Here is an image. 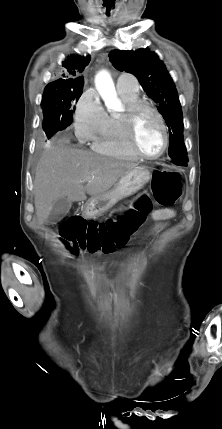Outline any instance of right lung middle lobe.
Instances as JSON below:
<instances>
[{
	"mask_svg": "<svg viewBox=\"0 0 222 429\" xmlns=\"http://www.w3.org/2000/svg\"><path fill=\"white\" fill-rule=\"evenodd\" d=\"M82 92L83 84L62 90L45 88L41 102L44 116L42 127L48 139L72 124L74 105Z\"/></svg>",
	"mask_w": 222,
	"mask_h": 429,
	"instance_id": "1",
	"label": "right lung middle lobe"
}]
</instances>
